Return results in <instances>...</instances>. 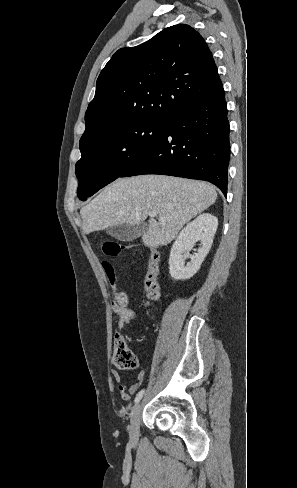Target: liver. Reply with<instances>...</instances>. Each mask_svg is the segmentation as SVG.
I'll return each mask as SVG.
<instances>
[{
	"label": "liver",
	"mask_w": 297,
	"mask_h": 488,
	"mask_svg": "<svg viewBox=\"0 0 297 488\" xmlns=\"http://www.w3.org/2000/svg\"><path fill=\"white\" fill-rule=\"evenodd\" d=\"M217 198L206 182L163 175L119 178L80 210L84 233L122 224H139L154 211L164 218H150L142 242L158 248L175 239L181 228Z\"/></svg>",
	"instance_id": "obj_1"
}]
</instances>
